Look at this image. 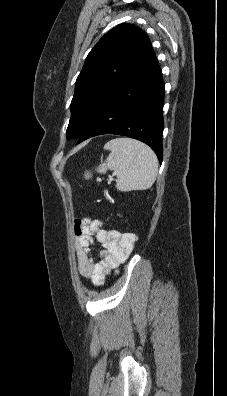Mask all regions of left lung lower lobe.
Wrapping results in <instances>:
<instances>
[{"label":"left lung lower lobe","instance_id":"obj_1","mask_svg":"<svg viewBox=\"0 0 227 396\" xmlns=\"http://www.w3.org/2000/svg\"><path fill=\"white\" fill-rule=\"evenodd\" d=\"M164 82L152 52L100 104L77 144L94 136L116 134L140 140L163 158Z\"/></svg>","mask_w":227,"mask_h":396}]
</instances>
